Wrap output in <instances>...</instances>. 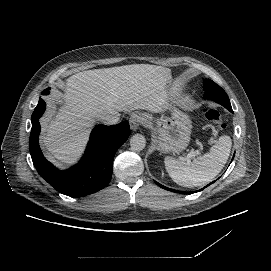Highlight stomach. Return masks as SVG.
Listing matches in <instances>:
<instances>
[{"mask_svg":"<svg viewBox=\"0 0 271 271\" xmlns=\"http://www.w3.org/2000/svg\"><path fill=\"white\" fill-rule=\"evenodd\" d=\"M157 132L156 145L162 152H181L189 143L190 120L176 112L172 118L158 121Z\"/></svg>","mask_w":271,"mask_h":271,"instance_id":"0dacf381","label":"stomach"}]
</instances>
